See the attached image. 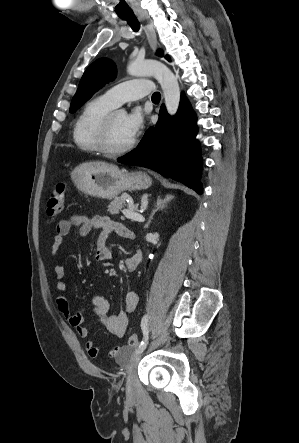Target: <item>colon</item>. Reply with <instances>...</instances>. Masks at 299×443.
<instances>
[{"instance_id":"obj_1","label":"colon","mask_w":299,"mask_h":443,"mask_svg":"<svg viewBox=\"0 0 299 443\" xmlns=\"http://www.w3.org/2000/svg\"><path fill=\"white\" fill-rule=\"evenodd\" d=\"M66 186L63 182H59L51 191L46 204V213L50 221L55 220L61 213L64 198H65ZM140 339L137 334H131L128 338V348L123 349L118 359L124 361L129 354L130 349L139 345Z\"/></svg>"}]
</instances>
